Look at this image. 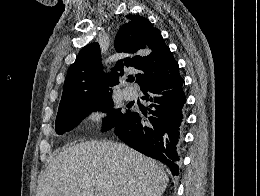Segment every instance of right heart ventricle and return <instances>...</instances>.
<instances>
[{"instance_id": "obj_1", "label": "right heart ventricle", "mask_w": 260, "mask_h": 196, "mask_svg": "<svg viewBox=\"0 0 260 196\" xmlns=\"http://www.w3.org/2000/svg\"><path fill=\"white\" fill-rule=\"evenodd\" d=\"M66 192H81V190H66Z\"/></svg>"}]
</instances>
